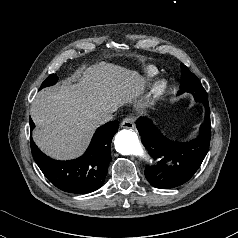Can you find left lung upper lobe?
I'll return each instance as SVG.
<instances>
[{"label":"left lung upper lobe","mask_w":238,"mask_h":238,"mask_svg":"<svg viewBox=\"0 0 238 238\" xmlns=\"http://www.w3.org/2000/svg\"><path fill=\"white\" fill-rule=\"evenodd\" d=\"M181 70V85L178 95L189 92L194 96L197 102H208L206 91L199 83L198 78L192 74L184 64H181Z\"/></svg>","instance_id":"left-lung-upper-lobe-1"}]
</instances>
